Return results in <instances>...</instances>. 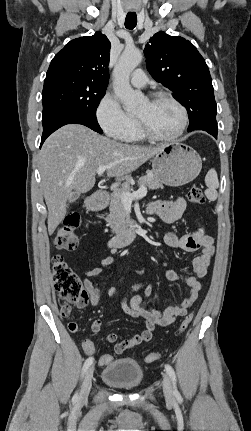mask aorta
I'll return each mask as SVG.
<instances>
[{"label": "aorta", "mask_w": 251, "mask_h": 431, "mask_svg": "<svg viewBox=\"0 0 251 431\" xmlns=\"http://www.w3.org/2000/svg\"><path fill=\"white\" fill-rule=\"evenodd\" d=\"M141 60V52L137 48L128 47L123 51L113 70L115 95L127 110L137 108L141 102V96L132 89L129 82L131 72Z\"/></svg>", "instance_id": "1"}]
</instances>
